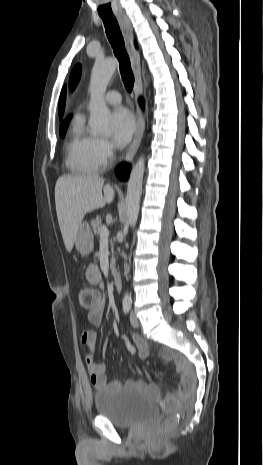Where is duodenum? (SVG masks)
<instances>
[{
    "label": "duodenum",
    "instance_id": "obj_1",
    "mask_svg": "<svg viewBox=\"0 0 263 465\" xmlns=\"http://www.w3.org/2000/svg\"><path fill=\"white\" fill-rule=\"evenodd\" d=\"M113 283L116 290L120 291L122 288L121 275L118 272L113 273Z\"/></svg>",
    "mask_w": 263,
    "mask_h": 465
}]
</instances>
